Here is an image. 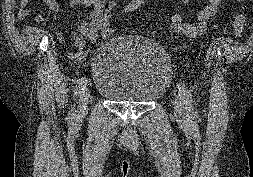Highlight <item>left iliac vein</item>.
I'll use <instances>...</instances> for the list:
<instances>
[{
    "instance_id": "4c4485c4",
    "label": "left iliac vein",
    "mask_w": 253,
    "mask_h": 177,
    "mask_svg": "<svg viewBox=\"0 0 253 177\" xmlns=\"http://www.w3.org/2000/svg\"><path fill=\"white\" fill-rule=\"evenodd\" d=\"M174 113L177 118L185 120L186 118L185 106L182 98L177 94H175L174 98Z\"/></svg>"
}]
</instances>
